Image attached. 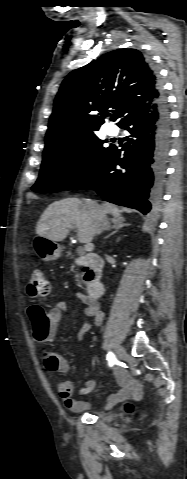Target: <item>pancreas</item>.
Wrapping results in <instances>:
<instances>
[{
    "instance_id": "1",
    "label": "pancreas",
    "mask_w": 187,
    "mask_h": 479,
    "mask_svg": "<svg viewBox=\"0 0 187 479\" xmlns=\"http://www.w3.org/2000/svg\"><path fill=\"white\" fill-rule=\"evenodd\" d=\"M77 278H80V274H77Z\"/></svg>"
}]
</instances>
